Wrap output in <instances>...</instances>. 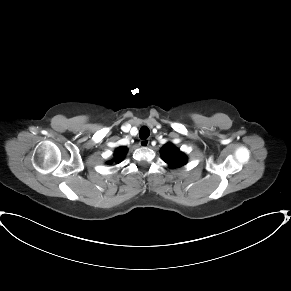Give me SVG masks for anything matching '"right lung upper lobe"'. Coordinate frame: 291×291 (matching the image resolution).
<instances>
[{"label": "right lung upper lobe", "instance_id": "1", "mask_svg": "<svg viewBox=\"0 0 291 291\" xmlns=\"http://www.w3.org/2000/svg\"><path fill=\"white\" fill-rule=\"evenodd\" d=\"M127 152V148L126 147H119L116 151H115V155H114V159L112 161L107 162V164H111L113 162L115 163H119L123 160V158L125 157Z\"/></svg>", "mask_w": 291, "mask_h": 291}]
</instances>
